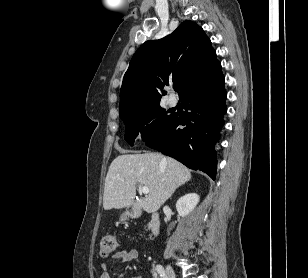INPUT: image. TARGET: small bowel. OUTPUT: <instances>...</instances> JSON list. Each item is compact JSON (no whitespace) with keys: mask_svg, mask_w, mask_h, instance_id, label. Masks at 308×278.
Wrapping results in <instances>:
<instances>
[{"mask_svg":"<svg viewBox=\"0 0 308 278\" xmlns=\"http://www.w3.org/2000/svg\"><path fill=\"white\" fill-rule=\"evenodd\" d=\"M138 257H139V251L133 248L129 250H126V249L119 250L112 255L111 259L112 261L117 262V263H124V262H129L132 260L137 261ZM108 268H109V264L107 262L102 263L101 265L102 272L100 274V278H111L108 273ZM131 278H142V276H134Z\"/></svg>","mask_w":308,"mask_h":278,"instance_id":"1","label":"small bowel"}]
</instances>
